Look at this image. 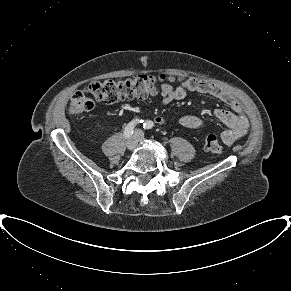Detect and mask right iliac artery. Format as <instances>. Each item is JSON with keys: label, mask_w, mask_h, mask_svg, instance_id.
<instances>
[{"label": "right iliac artery", "mask_w": 291, "mask_h": 291, "mask_svg": "<svg viewBox=\"0 0 291 291\" xmlns=\"http://www.w3.org/2000/svg\"><path fill=\"white\" fill-rule=\"evenodd\" d=\"M144 121L142 119H134L132 120L124 129V136L126 138H129L134 131V128L136 126L137 123H143Z\"/></svg>", "instance_id": "82829eb1"}]
</instances>
